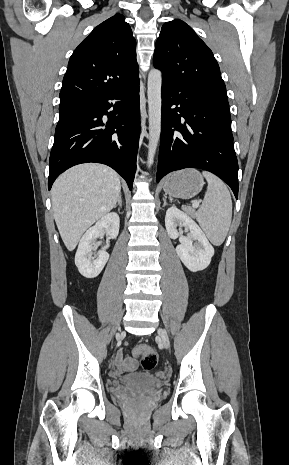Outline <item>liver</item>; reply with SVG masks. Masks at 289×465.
<instances>
[{
	"label": "liver",
	"mask_w": 289,
	"mask_h": 465,
	"mask_svg": "<svg viewBox=\"0 0 289 465\" xmlns=\"http://www.w3.org/2000/svg\"><path fill=\"white\" fill-rule=\"evenodd\" d=\"M120 194L119 175L102 164L77 165L56 179L51 190L53 214L69 251L92 224L114 208Z\"/></svg>",
	"instance_id": "liver-1"
}]
</instances>
